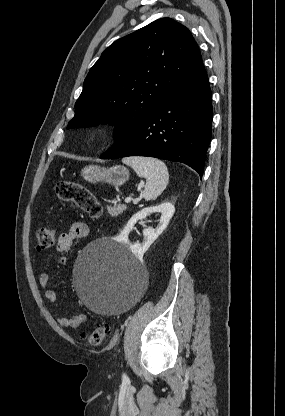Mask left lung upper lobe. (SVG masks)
Here are the masks:
<instances>
[{
    "label": "left lung upper lobe",
    "instance_id": "1",
    "mask_svg": "<svg viewBox=\"0 0 285 416\" xmlns=\"http://www.w3.org/2000/svg\"><path fill=\"white\" fill-rule=\"evenodd\" d=\"M202 63L190 31L161 18L104 50L84 81L67 129L115 126L117 141L179 89Z\"/></svg>",
    "mask_w": 285,
    "mask_h": 416
}]
</instances>
